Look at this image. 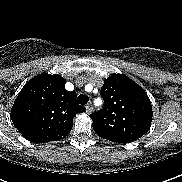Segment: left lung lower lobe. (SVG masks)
<instances>
[{"mask_svg":"<svg viewBox=\"0 0 182 182\" xmlns=\"http://www.w3.org/2000/svg\"><path fill=\"white\" fill-rule=\"evenodd\" d=\"M95 133L98 136H100L101 138L112 141V142H118V143H123V144L133 142L132 140L121 138V137H119L117 135L108 134V133H105V132L95 131Z\"/></svg>","mask_w":182,"mask_h":182,"instance_id":"1","label":"left lung lower lobe"}]
</instances>
